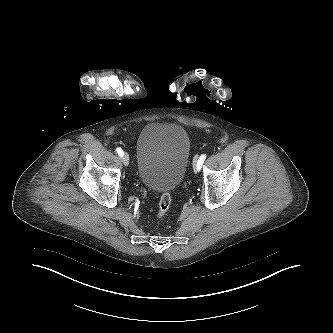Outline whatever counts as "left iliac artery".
<instances>
[{"label": "left iliac artery", "instance_id": "1", "mask_svg": "<svg viewBox=\"0 0 333 333\" xmlns=\"http://www.w3.org/2000/svg\"><path fill=\"white\" fill-rule=\"evenodd\" d=\"M205 159H206V154H202V155L199 157V159H198V161H197V169H198V171L201 169L202 164L204 163Z\"/></svg>", "mask_w": 333, "mask_h": 333}]
</instances>
